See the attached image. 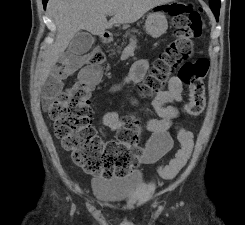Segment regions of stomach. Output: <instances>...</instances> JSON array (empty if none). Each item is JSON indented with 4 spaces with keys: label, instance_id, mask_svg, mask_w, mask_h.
<instances>
[{
    "label": "stomach",
    "instance_id": "0dacf381",
    "mask_svg": "<svg viewBox=\"0 0 245 225\" xmlns=\"http://www.w3.org/2000/svg\"><path fill=\"white\" fill-rule=\"evenodd\" d=\"M165 9V4L158 5L147 16L145 21V31L153 38H159L166 33L168 29Z\"/></svg>",
    "mask_w": 245,
    "mask_h": 225
}]
</instances>
